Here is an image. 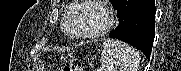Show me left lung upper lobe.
<instances>
[{"label":"left lung upper lobe","mask_w":181,"mask_h":71,"mask_svg":"<svg viewBox=\"0 0 181 71\" xmlns=\"http://www.w3.org/2000/svg\"><path fill=\"white\" fill-rule=\"evenodd\" d=\"M110 1H111V3H112L113 6H114V4L116 3L117 0H110Z\"/></svg>","instance_id":"5c2ea615"}]
</instances>
